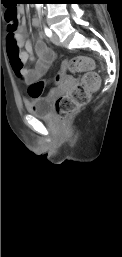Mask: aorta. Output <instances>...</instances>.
I'll use <instances>...</instances> for the list:
<instances>
[{"instance_id":"aorta-1","label":"aorta","mask_w":122,"mask_h":257,"mask_svg":"<svg viewBox=\"0 0 122 257\" xmlns=\"http://www.w3.org/2000/svg\"><path fill=\"white\" fill-rule=\"evenodd\" d=\"M43 4H36L37 8L40 9Z\"/></svg>"}]
</instances>
